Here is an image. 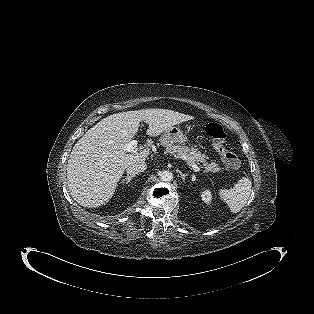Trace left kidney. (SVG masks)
<instances>
[{"label":"left kidney","instance_id":"left-kidney-1","mask_svg":"<svg viewBox=\"0 0 314 314\" xmlns=\"http://www.w3.org/2000/svg\"><path fill=\"white\" fill-rule=\"evenodd\" d=\"M201 197L205 203H207V204L211 203L212 195H211V192L209 190H204L203 192H201Z\"/></svg>","mask_w":314,"mask_h":314}]
</instances>
